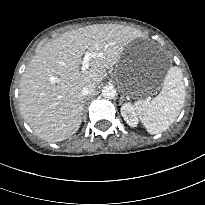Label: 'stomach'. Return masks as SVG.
Segmentation results:
<instances>
[{"mask_svg": "<svg viewBox=\"0 0 205 205\" xmlns=\"http://www.w3.org/2000/svg\"><path fill=\"white\" fill-rule=\"evenodd\" d=\"M137 62L132 49L126 50L116 70V78L121 89L132 96H143L154 91V86L142 80L137 72Z\"/></svg>", "mask_w": 205, "mask_h": 205, "instance_id": "1", "label": "stomach"}]
</instances>
